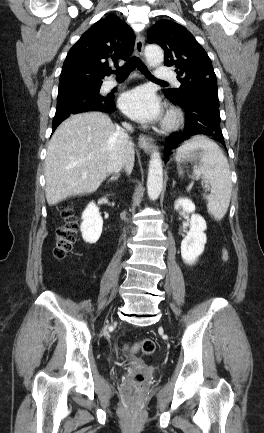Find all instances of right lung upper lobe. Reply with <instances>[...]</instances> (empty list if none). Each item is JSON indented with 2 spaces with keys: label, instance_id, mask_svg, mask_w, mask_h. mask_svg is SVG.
Here are the masks:
<instances>
[{
  "label": "right lung upper lobe",
  "instance_id": "1",
  "mask_svg": "<svg viewBox=\"0 0 264 433\" xmlns=\"http://www.w3.org/2000/svg\"><path fill=\"white\" fill-rule=\"evenodd\" d=\"M132 29L115 15L93 24L71 48L64 61L59 89L74 84L102 82L113 73L108 61L118 67V59H127L133 51Z\"/></svg>",
  "mask_w": 264,
  "mask_h": 433
}]
</instances>
